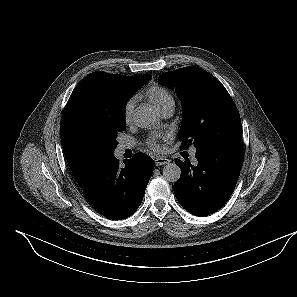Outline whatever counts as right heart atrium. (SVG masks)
<instances>
[{
  "label": "right heart atrium",
  "mask_w": 297,
  "mask_h": 297,
  "mask_svg": "<svg viewBox=\"0 0 297 297\" xmlns=\"http://www.w3.org/2000/svg\"><path fill=\"white\" fill-rule=\"evenodd\" d=\"M134 104H135V99L131 98L126 102L124 106V121L126 123H129L131 121Z\"/></svg>",
  "instance_id": "1"
}]
</instances>
